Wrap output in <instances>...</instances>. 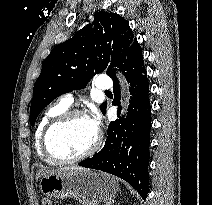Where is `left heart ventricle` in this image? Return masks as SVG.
I'll use <instances>...</instances> for the list:
<instances>
[{
    "label": "left heart ventricle",
    "instance_id": "left-heart-ventricle-1",
    "mask_svg": "<svg viewBox=\"0 0 212 205\" xmlns=\"http://www.w3.org/2000/svg\"><path fill=\"white\" fill-rule=\"evenodd\" d=\"M96 132L88 118L75 117L60 126L51 137V144L62 157H75L86 151L94 142Z\"/></svg>",
    "mask_w": 212,
    "mask_h": 205
}]
</instances>
